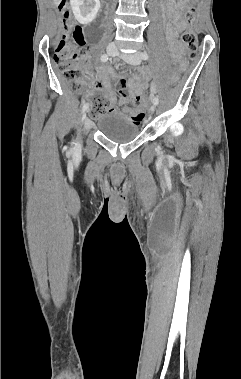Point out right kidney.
Returning <instances> with one entry per match:
<instances>
[{
  "label": "right kidney",
  "instance_id": "1",
  "mask_svg": "<svg viewBox=\"0 0 241 379\" xmlns=\"http://www.w3.org/2000/svg\"><path fill=\"white\" fill-rule=\"evenodd\" d=\"M75 19L83 25L90 24L100 8L99 0H70Z\"/></svg>",
  "mask_w": 241,
  "mask_h": 379
}]
</instances>
